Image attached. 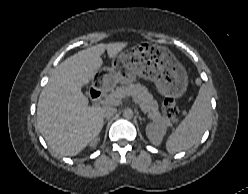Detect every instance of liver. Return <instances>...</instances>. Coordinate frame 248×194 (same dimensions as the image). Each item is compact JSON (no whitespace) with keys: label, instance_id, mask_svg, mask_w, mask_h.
<instances>
[{"label":"liver","instance_id":"1","mask_svg":"<svg viewBox=\"0 0 248 194\" xmlns=\"http://www.w3.org/2000/svg\"><path fill=\"white\" fill-rule=\"evenodd\" d=\"M127 43L97 44L65 59L42 89L37 125L49 147L64 156L79 154L103 128L104 107L88 106L82 87L93 80L107 50L114 59Z\"/></svg>","mask_w":248,"mask_h":194}]
</instances>
